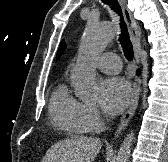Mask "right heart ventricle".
Here are the masks:
<instances>
[{
	"mask_svg": "<svg viewBox=\"0 0 168 162\" xmlns=\"http://www.w3.org/2000/svg\"><path fill=\"white\" fill-rule=\"evenodd\" d=\"M82 103L73 97L65 82H60L50 100V115L56 126L72 135H84L90 130L81 118Z\"/></svg>",
	"mask_w": 168,
	"mask_h": 162,
	"instance_id": "obj_1",
	"label": "right heart ventricle"
}]
</instances>
